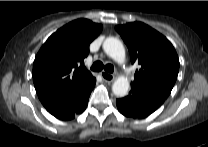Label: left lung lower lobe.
Masks as SVG:
<instances>
[{"label":"left lung lower lobe","mask_w":208,"mask_h":147,"mask_svg":"<svg viewBox=\"0 0 208 147\" xmlns=\"http://www.w3.org/2000/svg\"><path fill=\"white\" fill-rule=\"evenodd\" d=\"M165 97L148 89L131 85L128 96L117 99L119 112L126 117L145 118L158 109Z\"/></svg>","instance_id":"0a47b994"}]
</instances>
